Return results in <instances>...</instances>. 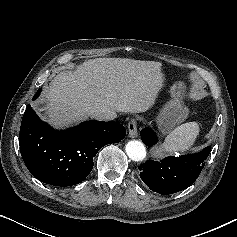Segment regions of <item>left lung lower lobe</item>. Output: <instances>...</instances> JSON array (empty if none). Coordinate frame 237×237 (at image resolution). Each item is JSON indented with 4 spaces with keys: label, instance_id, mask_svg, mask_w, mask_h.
<instances>
[{
    "label": "left lung lower lobe",
    "instance_id": "left-lung-lower-lobe-1",
    "mask_svg": "<svg viewBox=\"0 0 237 237\" xmlns=\"http://www.w3.org/2000/svg\"><path fill=\"white\" fill-rule=\"evenodd\" d=\"M143 142L148 146L157 143L155 133L148 127L140 132ZM211 146L196 154L167 157L163 160H148L139 166L142 181L154 192L169 195L189 187L202 171L209 156Z\"/></svg>",
    "mask_w": 237,
    "mask_h": 237
}]
</instances>
